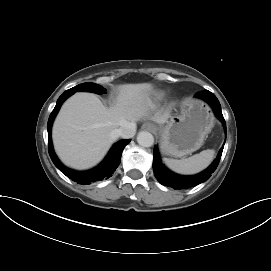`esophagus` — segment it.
<instances>
[{
  "instance_id": "1",
  "label": "esophagus",
  "mask_w": 271,
  "mask_h": 271,
  "mask_svg": "<svg viewBox=\"0 0 271 271\" xmlns=\"http://www.w3.org/2000/svg\"><path fill=\"white\" fill-rule=\"evenodd\" d=\"M142 129L150 131V132H153V131H155L156 128H155V126L152 123H144L142 125Z\"/></svg>"
}]
</instances>
